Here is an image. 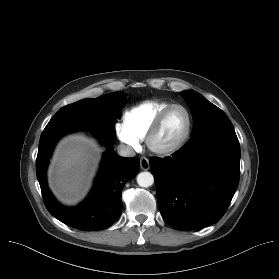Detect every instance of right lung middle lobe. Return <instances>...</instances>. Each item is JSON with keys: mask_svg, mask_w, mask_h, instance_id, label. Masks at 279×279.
I'll return each mask as SVG.
<instances>
[{"mask_svg": "<svg viewBox=\"0 0 279 279\" xmlns=\"http://www.w3.org/2000/svg\"><path fill=\"white\" fill-rule=\"evenodd\" d=\"M126 102L127 94L119 91L94 99H83L62 107L52 117L45 129L67 123H83L114 138L116 118Z\"/></svg>", "mask_w": 279, "mask_h": 279, "instance_id": "dd1d6c3e", "label": "right lung middle lobe"}]
</instances>
